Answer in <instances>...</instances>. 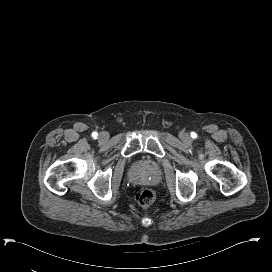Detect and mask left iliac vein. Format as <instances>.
<instances>
[{"label":"left iliac vein","instance_id":"obj_1","mask_svg":"<svg viewBox=\"0 0 272 272\" xmlns=\"http://www.w3.org/2000/svg\"><path fill=\"white\" fill-rule=\"evenodd\" d=\"M180 138L184 141V142H189L191 139H190V136L187 134V133H182L180 135Z\"/></svg>","mask_w":272,"mask_h":272}]
</instances>
